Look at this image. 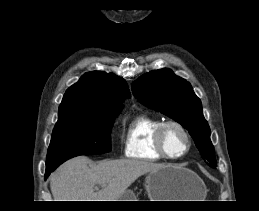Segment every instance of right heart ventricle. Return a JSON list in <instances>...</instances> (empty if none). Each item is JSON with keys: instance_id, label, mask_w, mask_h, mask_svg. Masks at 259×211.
<instances>
[{"instance_id": "e07e8e85", "label": "right heart ventricle", "mask_w": 259, "mask_h": 211, "mask_svg": "<svg viewBox=\"0 0 259 211\" xmlns=\"http://www.w3.org/2000/svg\"><path fill=\"white\" fill-rule=\"evenodd\" d=\"M162 122L161 118L148 113L134 115L124 129L125 156L148 161L165 159L155 147V133Z\"/></svg>"}]
</instances>
